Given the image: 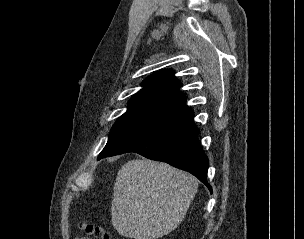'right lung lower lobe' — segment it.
Instances as JSON below:
<instances>
[{"label":"right lung lower lobe","instance_id":"98d812e1","mask_svg":"<svg viewBox=\"0 0 304 239\" xmlns=\"http://www.w3.org/2000/svg\"><path fill=\"white\" fill-rule=\"evenodd\" d=\"M193 118L194 113H191L168 121L105 157L136 152L190 172L212 191L207 182L208 158L198 142L199 130L193 123Z\"/></svg>","mask_w":304,"mask_h":239}]
</instances>
